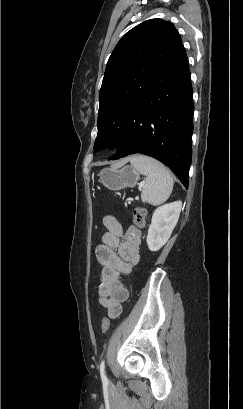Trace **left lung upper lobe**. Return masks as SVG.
<instances>
[{"instance_id": "1", "label": "left lung upper lobe", "mask_w": 243, "mask_h": 409, "mask_svg": "<svg viewBox=\"0 0 243 409\" xmlns=\"http://www.w3.org/2000/svg\"><path fill=\"white\" fill-rule=\"evenodd\" d=\"M181 43L174 25L162 19L144 21L120 39L100 89L95 150L118 148L149 82Z\"/></svg>"}]
</instances>
